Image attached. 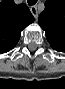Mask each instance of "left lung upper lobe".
<instances>
[{
	"instance_id": "left-lung-upper-lobe-1",
	"label": "left lung upper lobe",
	"mask_w": 65,
	"mask_h": 89,
	"mask_svg": "<svg viewBox=\"0 0 65 89\" xmlns=\"http://www.w3.org/2000/svg\"><path fill=\"white\" fill-rule=\"evenodd\" d=\"M38 22L51 47L65 51V0H46Z\"/></svg>"
}]
</instances>
